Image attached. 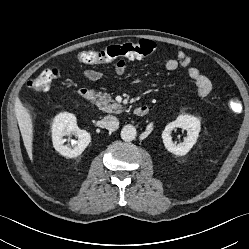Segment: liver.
Returning a JSON list of instances; mask_svg holds the SVG:
<instances>
[{"mask_svg": "<svg viewBox=\"0 0 249 249\" xmlns=\"http://www.w3.org/2000/svg\"><path fill=\"white\" fill-rule=\"evenodd\" d=\"M15 113L28 156L33 160V124L32 117L20 100L16 101Z\"/></svg>", "mask_w": 249, "mask_h": 249, "instance_id": "6515ba94", "label": "liver"}]
</instances>
